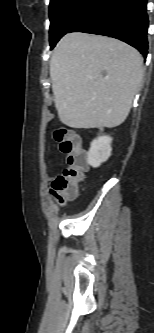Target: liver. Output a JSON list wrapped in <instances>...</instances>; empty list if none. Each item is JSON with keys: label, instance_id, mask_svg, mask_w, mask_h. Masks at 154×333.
Listing matches in <instances>:
<instances>
[{"label": "liver", "instance_id": "6515ba94", "mask_svg": "<svg viewBox=\"0 0 154 333\" xmlns=\"http://www.w3.org/2000/svg\"><path fill=\"white\" fill-rule=\"evenodd\" d=\"M143 59L106 36L68 33L50 63L60 121L72 128H113L127 118L143 78Z\"/></svg>", "mask_w": 154, "mask_h": 333}]
</instances>
